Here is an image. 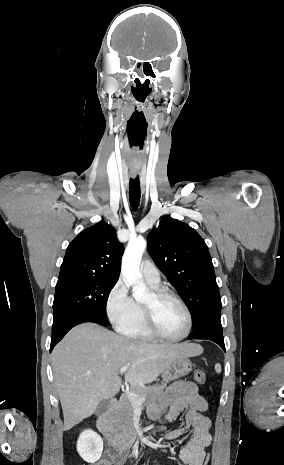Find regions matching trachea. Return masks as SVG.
I'll list each match as a JSON object with an SVG mask.
<instances>
[{"label": "trachea", "mask_w": 284, "mask_h": 465, "mask_svg": "<svg viewBox=\"0 0 284 465\" xmlns=\"http://www.w3.org/2000/svg\"><path fill=\"white\" fill-rule=\"evenodd\" d=\"M140 182L138 175L134 179H130L129 183V201L132 209L137 210L140 202Z\"/></svg>", "instance_id": "obj_1"}]
</instances>
